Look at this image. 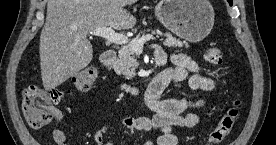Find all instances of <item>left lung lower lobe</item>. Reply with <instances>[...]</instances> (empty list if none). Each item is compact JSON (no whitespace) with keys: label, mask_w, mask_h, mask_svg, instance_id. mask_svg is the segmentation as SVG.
<instances>
[{"label":"left lung lower lobe","mask_w":276,"mask_h":145,"mask_svg":"<svg viewBox=\"0 0 276 145\" xmlns=\"http://www.w3.org/2000/svg\"><path fill=\"white\" fill-rule=\"evenodd\" d=\"M229 4L232 5V0H228Z\"/></svg>","instance_id":"0a47b994"}]
</instances>
